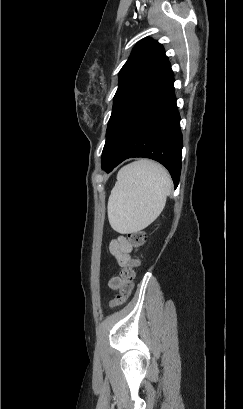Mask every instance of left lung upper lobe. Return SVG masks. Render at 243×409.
I'll return each instance as SVG.
<instances>
[{"label":"left lung upper lobe","instance_id":"obj_1","mask_svg":"<svg viewBox=\"0 0 243 409\" xmlns=\"http://www.w3.org/2000/svg\"><path fill=\"white\" fill-rule=\"evenodd\" d=\"M167 61L163 46L151 38H144L134 47L119 72V85L114 96L102 152V166L110 164L116 156V126L119 120L148 81Z\"/></svg>","mask_w":243,"mask_h":409}]
</instances>
